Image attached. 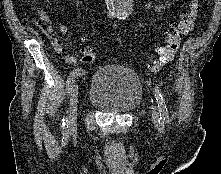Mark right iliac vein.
I'll list each match as a JSON object with an SVG mask.
<instances>
[{"label":"right iliac vein","mask_w":221,"mask_h":174,"mask_svg":"<svg viewBox=\"0 0 221 174\" xmlns=\"http://www.w3.org/2000/svg\"><path fill=\"white\" fill-rule=\"evenodd\" d=\"M78 85H72L69 105V127L74 128L77 122Z\"/></svg>","instance_id":"63e3f726"}]
</instances>
